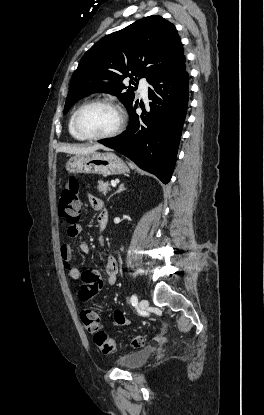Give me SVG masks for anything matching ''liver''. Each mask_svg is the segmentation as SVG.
Segmentation results:
<instances>
[{
  "mask_svg": "<svg viewBox=\"0 0 264 415\" xmlns=\"http://www.w3.org/2000/svg\"><path fill=\"white\" fill-rule=\"evenodd\" d=\"M99 149L108 150L106 147L100 144H95L93 146L82 147V146H61L57 149V152H64L69 154H88L95 152Z\"/></svg>",
  "mask_w": 264,
  "mask_h": 415,
  "instance_id": "6515ba94",
  "label": "liver"
}]
</instances>
